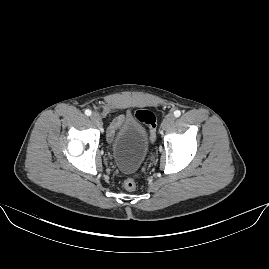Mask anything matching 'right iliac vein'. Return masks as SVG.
I'll return each instance as SVG.
<instances>
[{
	"mask_svg": "<svg viewBox=\"0 0 269 269\" xmlns=\"http://www.w3.org/2000/svg\"><path fill=\"white\" fill-rule=\"evenodd\" d=\"M90 118H91V121L94 125H96L98 127L102 126V121H101V117L99 114L93 113V114H91Z\"/></svg>",
	"mask_w": 269,
	"mask_h": 269,
	"instance_id": "1",
	"label": "right iliac vein"
}]
</instances>
